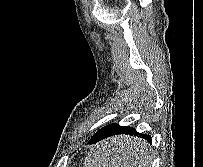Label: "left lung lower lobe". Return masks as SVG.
<instances>
[{"label":"left lung lower lobe","instance_id":"left-lung-lower-lobe-1","mask_svg":"<svg viewBox=\"0 0 203 167\" xmlns=\"http://www.w3.org/2000/svg\"><path fill=\"white\" fill-rule=\"evenodd\" d=\"M121 134H126V135H135L137 137L143 138L146 141H148L149 143H151V136L147 135V134H142V133H138L134 128L132 127H124V126H120L119 124H109L103 128H101L100 130H98L93 136L92 138L89 140V144H95L99 141H102L106 138L115 136V135H121ZM131 140L128 137H114L111 139H108V142L111 144L112 141H115V143L111 144V148H121L122 145H120V143H123V146L128 147V143H130L129 147L132 148V150L137 152V149H134L133 146H131ZM105 143V142H103ZM108 145V144H107ZM136 148V146H135Z\"/></svg>","mask_w":203,"mask_h":167}]
</instances>
